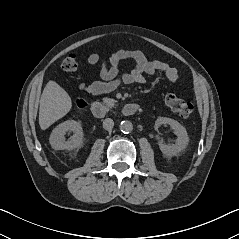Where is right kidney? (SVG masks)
<instances>
[{"instance_id": "ca27d5eb", "label": "right kidney", "mask_w": 239, "mask_h": 239, "mask_svg": "<svg viewBox=\"0 0 239 239\" xmlns=\"http://www.w3.org/2000/svg\"><path fill=\"white\" fill-rule=\"evenodd\" d=\"M72 131L74 134L70 140H65L66 132ZM49 142L55 150H72L79 147L83 142V129L80 122L67 120L53 129Z\"/></svg>"}]
</instances>
